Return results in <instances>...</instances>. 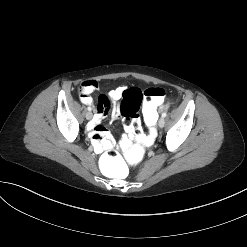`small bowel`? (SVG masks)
Wrapping results in <instances>:
<instances>
[{
	"label": "small bowel",
	"mask_w": 247,
	"mask_h": 247,
	"mask_svg": "<svg viewBox=\"0 0 247 247\" xmlns=\"http://www.w3.org/2000/svg\"><path fill=\"white\" fill-rule=\"evenodd\" d=\"M86 84V91L81 93V102L86 105H92L93 99L91 93L97 89L98 83L94 80L84 82ZM125 88L123 86L117 87L109 91L108 96H100L97 106L95 107V117L90 126L89 134L92 140L93 148L95 152L101 153L102 151L110 150L114 147L115 141L109 132L106 131L99 123L113 107V116L119 115V109L116 104L123 96ZM128 132V130H127ZM131 143V139L128 135H123L120 139V147H124Z\"/></svg>",
	"instance_id": "small-bowel-1"
}]
</instances>
